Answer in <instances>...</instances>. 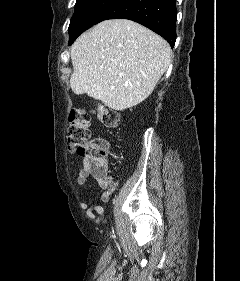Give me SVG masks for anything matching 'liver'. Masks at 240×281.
<instances>
[{
	"instance_id": "liver-1",
	"label": "liver",
	"mask_w": 240,
	"mask_h": 281,
	"mask_svg": "<svg viewBox=\"0 0 240 281\" xmlns=\"http://www.w3.org/2000/svg\"><path fill=\"white\" fill-rule=\"evenodd\" d=\"M170 54L162 37L134 21H103L71 47V89L117 111L131 108L152 93L170 64Z\"/></svg>"
}]
</instances>
